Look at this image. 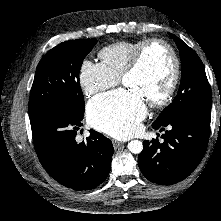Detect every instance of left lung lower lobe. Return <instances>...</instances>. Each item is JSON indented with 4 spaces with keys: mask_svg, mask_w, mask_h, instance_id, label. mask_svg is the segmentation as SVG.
Masks as SVG:
<instances>
[{
    "mask_svg": "<svg viewBox=\"0 0 221 221\" xmlns=\"http://www.w3.org/2000/svg\"><path fill=\"white\" fill-rule=\"evenodd\" d=\"M211 112L191 111L154 129L167 130L158 139L144 141L139 154L142 174L151 182L163 185L177 183L189 176L202 160L210 134Z\"/></svg>",
    "mask_w": 221,
    "mask_h": 221,
    "instance_id": "obj_1",
    "label": "left lung lower lobe"
}]
</instances>
